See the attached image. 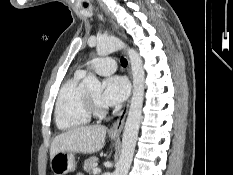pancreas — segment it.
I'll list each match as a JSON object with an SVG mask.
<instances>
[{"mask_svg": "<svg viewBox=\"0 0 233 175\" xmlns=\"http://www.w3.org/2000/svg\"><path fill=\"white\" fill-rule=\"evenodd\" d=\"M98 158L95 156H92L84 161V170L88 173H92L93 169L95 168L97 164Z\"/></svg>", "mask_w": 233, "mask_h": 175, "instance_id": "obj_1", "label": "pancreas"}]
</instances>
